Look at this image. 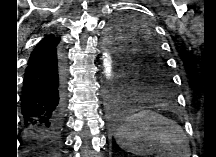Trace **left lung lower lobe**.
Instances as JSON below:
<instances>
[{
  "label": "left lung lower lobe",
  "instance_id": "obj_1",
  "mask_svg": "<svg viewBox=\"0 0 216 157\" xmlns=\"http://www.w3.org/2000/svg\"><path fill=\"white\" fill-rule=\"evenodd\" d=\"M132 95L133 93L128 83L123 77H121L117 85L116 91L113 93L109 103L110 117L114 122L119 121L124 117L122 103L120 101L128 99Z\"/></svg>",
  "mask_w": 216,
  "mask_h": 157
}]
</instances>
